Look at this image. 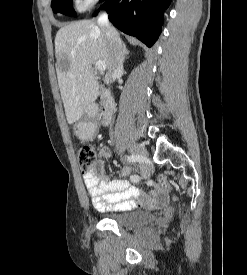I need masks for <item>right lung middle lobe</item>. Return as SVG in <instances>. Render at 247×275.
Segmentation results:
<instances>
[{
  "label": "right lung middle lobe",
  "mask_w": 247,
  "mask_h": 275,
  "mask_svg": "<svg viewBox=\"0 0 247 275\" xmlns=\"http://www.w3.org/2000/svg\"><path fill=\"white\" fill-rule=\"evenodd\" d=\"M52 9L55 13L59 12L68 16L75 15L74 10L72 8V0H52Z\"/></svg>",
  "instance_id": "1"
}]
</instances>
